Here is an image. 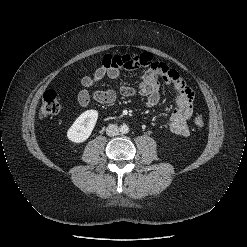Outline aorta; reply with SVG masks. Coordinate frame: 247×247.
<instances>
[{
  "label": "aorta",
  "mask_w": 247,
  "mask_h": 247,
  "mask_svg": "<svg viewBox=\"0 0 247 247\" xmlns=\"http://www.w3.org/2000/svg\"><path fill=\"white\" fill-rule=\"evenodd\" d=\"M120 132H121L122 134H127V133L129 132V127H128V125H126V124L121 125V126H120Z\"/></svg>",
  "instance_id": "aorta-1"
}]
</instances>
